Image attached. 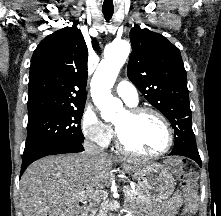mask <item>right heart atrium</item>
Segmentation results:
<instances>
[{
	"instance_id": "right-heart-atrium-1",
	"label": "right heart atrium",
	"mask_w": 221,
	"mask_h": 216,
	"mask_svg": "<svg viewBox=\"0 0 221 216\" xmlns=\"http://www.w3.org/2000/svg\"><path fill=\"white\" fill-rule=\"evenodd\" d=\"M83 136L90 142L106 147L113 137L112 127L105 123L93 107H86L80 121Z\"/></svg>"
}]
</instances>
